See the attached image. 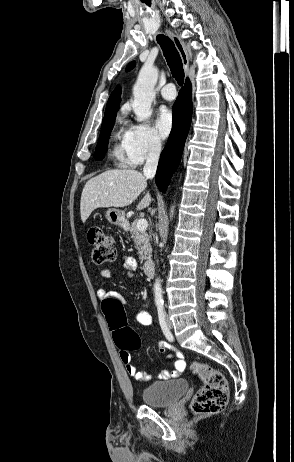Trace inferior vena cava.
Listing matches in <instances>:
<instances>
[{"instance_id": "602c4592", "label": "inferior vena cava", "mask_w": 294, "mask_h": 462, "mask_svg": "<svg viewBox=\"0 0 294 462\" xmlns=\"http://www.w3.org/2000/svg\"><path fill=\"white\" fill-rule=\"evenodd\" d=\"M161 152V144L158 141L151 143L146 159V163L143 168V173L146 178H154L158 165V160Z\"/></svg>"}]
</instances>
